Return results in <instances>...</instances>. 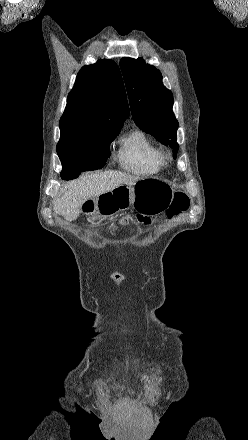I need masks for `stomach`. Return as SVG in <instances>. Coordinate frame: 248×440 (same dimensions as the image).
Listing matches in <instances>:
<instances>
[{
    "instance_id": "obj_1",
    "label": "stomach",
    "mask_w": 248,
    "mask_h": 440,
    "mask_svg": "<svg viewBox=\"0 0 248 440\" xmlns=\"http://www.w3.org/2000/svg\"><path fill=\"white\" fill-rule=\"evenodd\" d=\"M173 193L166 182L154 178L141 179L134 185H121L90 199L92 204H85L83 216L108 218L131 206L144 213L157 214L169 206Z\"/></svg>"
}]
</instances>
